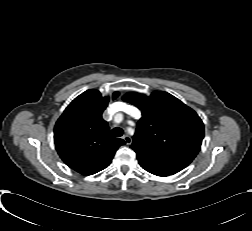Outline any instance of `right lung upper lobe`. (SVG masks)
I'll return each mask as SVG.
<instances>
[{
	"mask_svg": "<svg viewBox=\"0 0 252 231\" xmlns=\"http://www.w3.org/2000/svg\"><path fill=\"white\" fill-rule=\"evenodd\" d=\"M118 94L113 93L112 98ZM109 100L97 90H87L68 105L55 124L56 150L80 174L92 175L105 169L118 147L125 144L110 136L108 123L102 119Z\"/></svg>",
	"mask_w": 252,
	"mask_h": 231,
	"instance_id": "1",
	"label": "right lung upper lobe"
}]
</instances>
